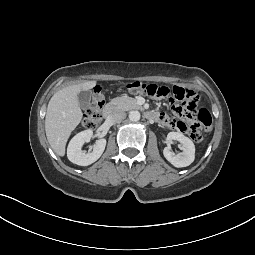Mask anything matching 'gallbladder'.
<instances>
[{
  "instance_id": "obj_1",
  "label": "gallbladder",
  "mask_w": 255,
  "mask_h": 255,
  "mask_svg": "<svg viewBox=\"0 0 255 255\" xmlns=\"http://www.w3.org/2000/svg\"><path fill=\"white\" fill-rule=\"evenodd\" d=\"M91 98V91L87 90V91H81L78 94V101H79V105L82 108H86L89 104Z\"/></svg>"
}]
</instances>
